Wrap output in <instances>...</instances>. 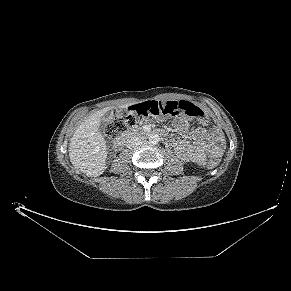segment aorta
Returning <instances> with one entry per match:
<instances>
[{
  "mask_svg": "<svg viewBox=\"0 0 291 291\" xmlns=\"http://www.w3.org/2000/svg\"><path fill=\"white\" fill-rule=\"evenodd\" d=\"M160 138L158 134H151L149 136V142L152 144H157L159 142Z\"/></svg>",
  "mask_w": 291,
  "mask_h": 291,
  "instance_id": "aorta-1",
  "label": "aorta"
}]
</instances>
